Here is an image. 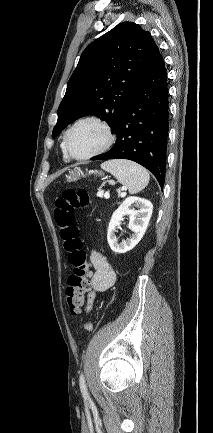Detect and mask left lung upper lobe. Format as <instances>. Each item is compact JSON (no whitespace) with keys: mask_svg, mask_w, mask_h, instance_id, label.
<instances>
[{"mask_svg":"<svg viewBox=\"0 0 213 433\" xmlns=\"http://www.w3.org/2000/svg\"><path fill=\"white\" fill-rule=\"evenodd\" d=\"M158 54L150 33L134 22L120 23L93 41L81 54L67 83L52 134L88 115L101 116L114 131Z\"/></svg>","mask_w":213,"mask_h":433,"instance_id":"obj_1","label":"left lung upper lobe"}]
</instances>
